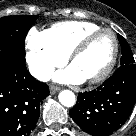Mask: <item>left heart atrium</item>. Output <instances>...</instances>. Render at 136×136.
<instances>
[{
  "mask_svg": "<svg viewBox=\"0 0 136 136\" xmlns=\"http://www.w3.org/2000/svg\"><path fill=\"white\" fill-rule=\"evenodd\" d=\"M54 79L63 83H81L85 80L83 76L72 66L55 73Z\"/></svg>",
  "mask_w": 136,
  "mask_h": 136,
  "instance_id": "left-heart-atrium-1",
  "label": "left heart atrium"
}]
</instances>
